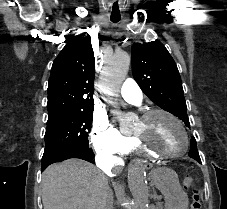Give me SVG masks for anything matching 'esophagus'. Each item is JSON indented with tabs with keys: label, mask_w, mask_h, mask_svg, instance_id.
Returning <instances> with one entry per match:
<instances>
[{
	"label": "esophagus",
	"mask_w": 227,
	"mask_h": 209,
	"mask_svg": "<svg viewBox=\"0 0 227 209\" xmlns=\"http://www.w3.org/2000/svg\"><path fill=\"white\" fill-rule=\"evenodd\" d=\"M153 168V163L152 162H147L146 164L142 165V170L143 171H148L149 169Z\"/></svg>",
	"instance_id": "obj_1"
}]
</instances>
